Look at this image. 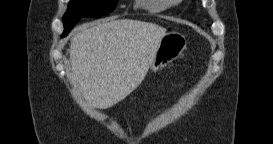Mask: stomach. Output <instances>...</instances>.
Listing matches in <instances>:
<instances>
[{
  "label": "stomach",
  "mask_w": 273,
  "mask_h": 144,
  "mask_svg": "<svg viewBox=\"0 0 273 144\" xmlns=\"http://www.w3.org/2000/svg\"><path fill=\"white\" fill-rule=\"evenodd\" d=\"M187 47L184 35L179 32H169L162 38L150 66L153 72L163 69L178 59Z\"/></svg>",
  "instance_id": "stomach-1"
}]
</instances>
